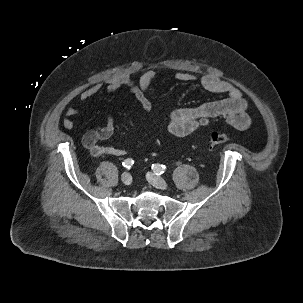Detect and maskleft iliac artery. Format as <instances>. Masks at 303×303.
Masks as SVG:
<instances>
[{
  "instance_id": "left-iliac-artery-1",
  "label": "left iliac artery",
  "mask_w": 303,
  "mask_h": 303,
  "mask_svg": "<svg viewBox=\"0 0 303 303\" xmlns=\"http://www.w3.org/2000/svg\"><path fill=\"white\" fill-rule=\"evenodd\" d=\"M152 170L156 175H160L165 172L166 166L165 165H160V164H153L152 165Z\"/></svg>"
}]
</instances>
